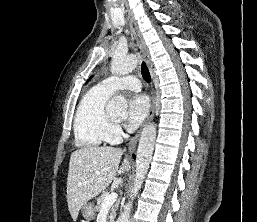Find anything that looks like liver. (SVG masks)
I'll list each match as a JSON object with an SVG mask.
<instances>
[{
	"label": "liver",
	"mask_w": 257,
	"mask_h": 222,
	"mask_svg": "<svg viewBox=\"0 0 257 222\" xmlns=\"http://www.w3.org/2000/svg\"><path fill=\"white\" fill-rule=\"evenodd\" d=\"M123 151L114 147H86L71 154L67 177V203L73 221L82 205L104 191L116 175L130 169Z\"/></svg>",
	"instance_id": "1"
}]
</instances>
